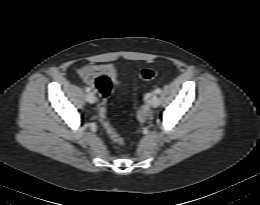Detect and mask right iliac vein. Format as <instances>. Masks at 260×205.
<instances>
[{
  "label": "right iliac vein",
  "mask_w": 260,
  "mask_h": 205,
  "mask_svg": "<svg viewBox=\"0 0 260 205\" xmlns=\"http://www.w3.org/2000/svg\"><path fill=\"white\" fill-rule=\"evenodd\" d=\"M86 101L89 102L90 104H93L96 101V98L93 95V93H88L86 95Z\"/></svg>",
  "instance_id": "63e3f726"
}]
</instances>
